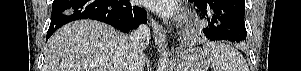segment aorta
I'll return each mask as SVG.
<instances>
[{"instance_id": "obj_1", "label": "aorta", "mask_w": 301, "mask_h": 71, "mask_svg": "<svg viewBox=\"0 0 301 71\" xmlns=\"http://www.w3.org/2000/svg\"><path fill=\"white\" fill-rule=\"evenodd\" d=\"M156 71H168V52H162Z\"/></svg>"}]
</instances>
